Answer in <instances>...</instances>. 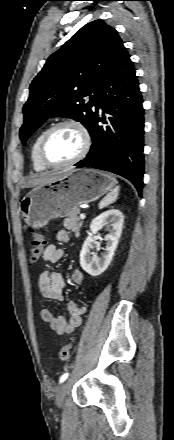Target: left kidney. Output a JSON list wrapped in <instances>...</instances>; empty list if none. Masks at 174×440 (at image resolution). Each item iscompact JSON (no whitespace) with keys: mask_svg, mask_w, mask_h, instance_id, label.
<instances>
[{"mask_svg":"<svg viewBox=\"0 0 174 440\" xmlns=\"http://www.w3.org/2000/svg\"><path fill=\"white\" fill-rule=\"evenodd\" d=\"M123 223L124 216L117 209L107 210L92 220L90 224L91 233L84 241L80 252V265L85 272L91 276H98L108 268L121 237ZM103 227H107L109 230V233L104 237L106 241L105 252L101 257L96 254L91 256L90 250L97 244L93 236Z\"/></svg>","mask_w":174,"mask_h":440,"instance_id":"left-kidney-1","label":"left kidney"}]
</instances>
